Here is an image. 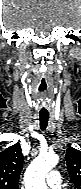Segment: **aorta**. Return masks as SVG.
Wrapping results in <instances>:
<instances>
[{
	"label": "aorta",
	"mask_w": 81,
	"mask_h": 189,
	"mask_svg": "<svg viewBox=\"0 0 81 189\" xmlns=\"http://www.w3.org/2000/svg\"><path fill=\"white\" fill-rule=\"evenodd\" d=\"M58 155L40 154L26 169L24 175L25 189H48L45 183L46 174L57 165Z\"/></svg>",
	"instance_id": "762f6f07"
}]
</instances>
